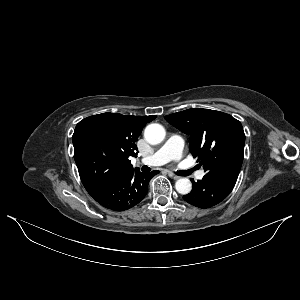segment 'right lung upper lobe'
<instances>
[{
  "mask_svg": "<svg viewBox=\"0 0 300 300\" xmlns=\"http://www.w3.org/2000/svg\"><path fill=\"white\" fill-rule=\"evenodd\" d=\"M152 116L122 115L119 113H102L80 121L95 125L105 137L121 163L123 174L133 171L129 157L137 156L136 140L146 123L154 120Z\"/></svg>",
  "mask_w": 300,
  "mask_h": 300,
  "instance_id": "right-lung-upper-lobe-1",
  "label": "right lung upper lobe"
}]
</instances>
